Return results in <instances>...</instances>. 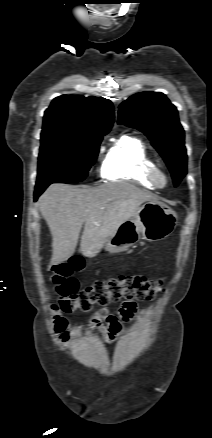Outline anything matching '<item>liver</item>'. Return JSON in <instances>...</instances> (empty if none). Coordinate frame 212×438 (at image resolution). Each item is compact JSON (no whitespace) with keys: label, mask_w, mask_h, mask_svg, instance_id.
Instances as JSON below:
<instances>
[{"label":"liver","mask_w":212,"mask_h":438,"mask_svg":"<svg viewBox=\"0 0 212 438\" xmlns=\"http://www.w3.org/2000/svg\"><path fill=\"white\" fill-rule=\"evenodd\" d=\"M154 200H158L157 195L129 183L96 188L49 186L39 199V208L52 235L50 267L74 254L83 224L80 251L92 258L144 202Z\"/></svg>","instance_id":"liver-1"}]
</instances>
